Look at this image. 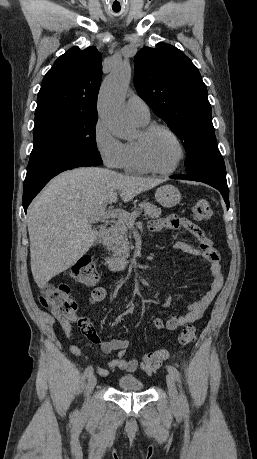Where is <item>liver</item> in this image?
I'll return each instance as SVG.
<instances>
[{
	"mask_svg": "<svg viewBox=\"0 0 257 459\" xmlns=\"http://www.w3.org/2000/svg\"><path fill=\"white\" fill-rule=\"evenodd\" d=\"M162 179L124 175L105 168L81 167L61 173L27 211L31 270L39 288L75 264L98 232L89 219L118 200H132Z\"/></svg>",
	"mask_w": 257,
	"mask_h": 459,
	"instance_id": "liver-1",
	"label": "liver"
}]
</instances>
